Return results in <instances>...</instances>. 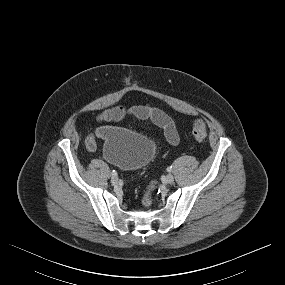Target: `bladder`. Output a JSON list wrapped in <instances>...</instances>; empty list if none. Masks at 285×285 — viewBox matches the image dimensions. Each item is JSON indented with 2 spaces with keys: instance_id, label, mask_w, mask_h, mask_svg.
Masks as SVG:
<instances>
[{
  "instance_id": "31cf9c89",
  "label": "bladder",
  "mask_w": 285,
  "mask_h": 285,
  "mask_svg": "<svg viewBox=\"0 0 285 285\" xmlns=\"http://www.w3.org/2000/svg\"><path fill=\"white\" fill-rule=\"evenodd\" d=\"M155 153L156 145L149 137L126 128H105L104 157L120 168L139 170L153 159Z\"/></svg>"
}]
</instances>
